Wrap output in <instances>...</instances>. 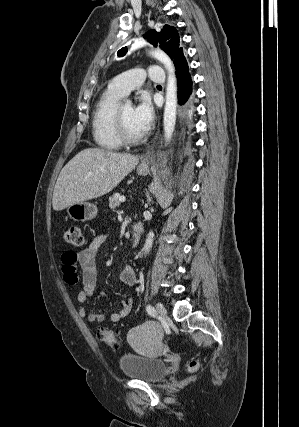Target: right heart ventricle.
<instances>
[{"instance_id": "e07e8e85", "label": "right heart ventricle", "mask_w": 299, "mask_h": 427, "mask_svg": "<svg viewBox=\"0 0 299 427\" xmlns=\"http://www.w3.org/2000/svg\"><path fill=\"white\" fill-rule=\"evenodd\" d=\"M123 95L109 85L97 100L92 116V136L102 150L115 151L122 147L117 136L114 113Z\"/></svg>"}]
</instances>
